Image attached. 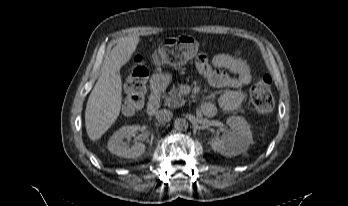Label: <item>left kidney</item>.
Listing matches in <instances>:
<instances>
[{"label":"left kidney","instance_id":"1","mask_svg":"<svg viewBox=\"0 0 348 206\" xmlns=\"http://www.w3.org/2000/svg\"><path fill=\"white\" fill-rule=\"evenodd\" d=\"M231 130L226 131L222 138L213 137L210 145L215 152L223 156L233 157L246 152L253 142L248 122L239 116L229 117L226 121Z\"/></svg>","mask_w":348,"mask_h":206}]
</instances>
